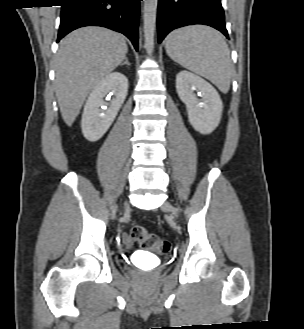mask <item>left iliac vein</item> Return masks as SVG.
Segmentation results:
<instances>
[{"instance_id": "obj_1", "label": "left iliac vein", "mask_w": 304, "mask_h": 329, "mask_svg": "<svg viewBox=\"0 0 304 329\" xmlns=\"http://www.w3.org/2000/svg\"><path fill=\"white\" fill-rule=\"evenodd\" d=\"M162 210L165 212H170L172 215L177 216V210L169 202H165L163 204Z\"/></svg>"}]
</instances>
